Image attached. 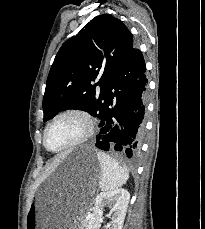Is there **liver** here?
Wrapping results in <instances>:
<instances>
[{"label":"liver","mask_w":205,"mask_h":229,"mask_svg":"<svg viewBox=\"0 0 205 229\" xmlns=\"http://www.w3.org/2000/svg\"><path fill=\"white\" fill-rule=\"evenodd\" d=\"M64 158V155H62V156H59L56 160H54V162H52L51 164H50V166H49V170H54L55 169V167L60 163V161H61V159H63ZM30 206V204H28V207Z\"/></svg>","instance_id":"1"}]
</instances>
